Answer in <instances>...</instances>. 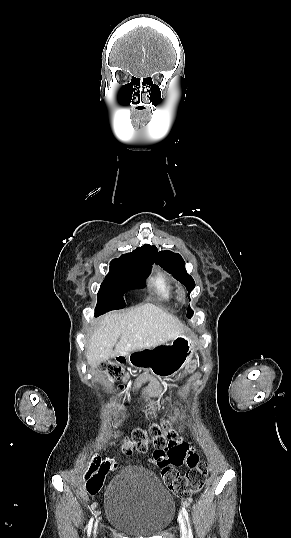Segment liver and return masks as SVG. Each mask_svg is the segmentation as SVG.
Listing matches in <instances>:
<instances>
[{"label": "liver", "instance_id": "liver-1", "mask_svg": "<svg viewBox=\"0 0 291 538\" xmlns=\"http://www.w3.org/2000/svg\"><path fill=\"white\" fill-rule=\"evenodd\" d=\"M184 331L178 318L151 303L109 312L100 317L86 357L90 363L99 365L110 357L128 356L132 351L167 343Z\"/></svg>", "mask_w": 291, "mask_h": 538}]
</instances>
